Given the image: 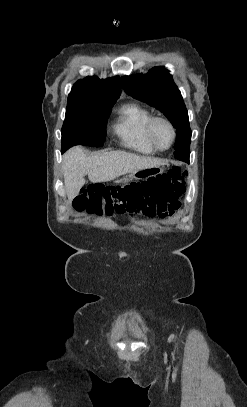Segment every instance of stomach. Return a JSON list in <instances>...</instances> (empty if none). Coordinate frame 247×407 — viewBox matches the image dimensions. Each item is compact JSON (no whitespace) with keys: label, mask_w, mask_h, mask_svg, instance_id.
Instances as JSON below:
<instances>
[{"label":"stomach","mask_w":247,"mask_h":407,"mask_svg":"<svg viewBox=\"0 0 247 407\" xmlns=\"http://www.w3.org/2000/svg\"><path fill=\"white\" fill-rule=\"evenodd\" d=\"M163 172V168L159 166H138V169L130 170V178H152L153 175H157ZM128 177L120 179V182L128 181Z\"/></svg>","instance_id":"1"}]
</instances>
